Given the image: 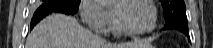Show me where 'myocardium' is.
Instances as JSON below:
<instances>
[{
  "mask_svg": "<svg viewBox=\"0 0 213 48\" xmlns=\"http://www.w3.org/2000/svg\"><path fill=\"white\" fill-rule=\"evenodd\" d=\"M136 1L143 2L150 7V9L152 11V24L148 29L143 30V31L133 30L124 23L122 16L118 12L115 11V18H116V21H117L120 29L123 31L124 34L130 35V36H142V35L151 33L157 27L158 15H157L156 6L154 5L153 1H151V0H123L122 2L124 4H126V3L136 2Z\"/></svg>",
  "mask_w": 213,
  "mask_h": 48,
  "instance_id": "f54148a6",
  "label": "myocardium"
}]
</instances>
